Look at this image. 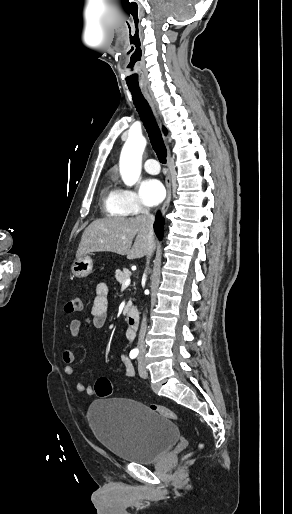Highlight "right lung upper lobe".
<instances>
[{
  "label": "right lung upper lobe",
  "mask_w": 292,
  "mask_h": 514,
  "mask_svg": "<svg viewBox=\"0 0 292 514\" xmlns=\"http://www.w3.org/2000/svg\"><path fill=\"white\" fill-rule=\"evenodd\" d=\"M163 132L165 135L167 134V129L165 127H163Z\"/></svg>",
  "instance_id": "1"
}]
</instances>
